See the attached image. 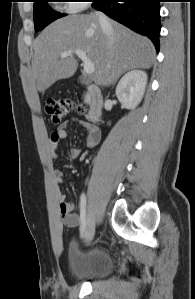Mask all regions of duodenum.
Wrapping results in <instances>:
<instances>
[{"mask_svg": "<svg viewBox=\"0 0 195 299\" xmlns=\"http://www.w3.org/2000/svg\"><path fill=\"white\" fill-rule=\"evenodd\" d=\"M86 101L88 104L87 118L91 122H97L102 114L103 96L99 87L95 84L86 85Z\"/></svg>", "mask_w": 195, "mask_h": 299, "instance_id": "obj_1", "label": "duodenum"}]
</instances>
